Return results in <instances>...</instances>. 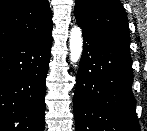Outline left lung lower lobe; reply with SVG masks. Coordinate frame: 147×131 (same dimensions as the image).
I'll use <instances>...</instances> for the list:
<instances>
[{
	"label": "left lung lower lobe",
	"mask_w": 147,
	"mask_h": 131,
	"mask_svg": "<svg viewBox=\"0 0 147 131\" xmlns=\"http://www.w3.org/2000/svg\"><path fill=\"white\" fill-rule=\"evenodd\" d=\"M83 33L74 94L76 131H140L130 51Z\"/></svg>",
	"instance_id": "1"
}]
</instances>
